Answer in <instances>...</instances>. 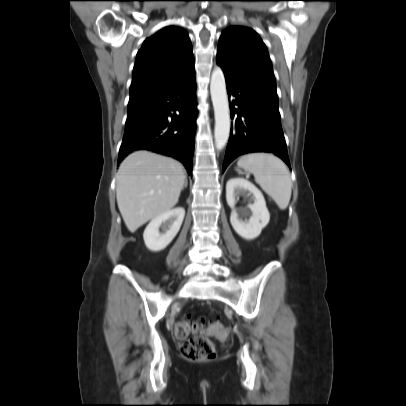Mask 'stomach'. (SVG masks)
Here are the masks:
<instances>
[{"label":"stomach","mask_w":406,"mask_h":406,"mask_svg":"<svg viewBox=\"0 0 406 406\" xmlns=\"http://www.w3.org/2000/svg\"><path fill=\"white\" fill-rule=\"evenodd\" d=\"M237 171H238L239 173H242V171H241V169H240V166L237 168Z\"/></svg>","instance_id":"stomach-1"}]
</instances>
